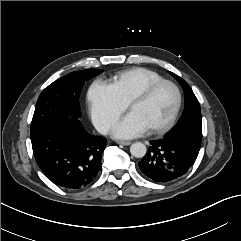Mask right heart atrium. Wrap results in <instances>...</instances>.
Here are the masks:
<instances>
[{
  "label": "right heart atrium",
  "mask_w": 241,
  "mask_h": 241,
  "mask_svg": "<svg viewBox=\"0 0 241 241\" xmlns=\"http://www.w3.org/2000/svg\"><path fill=\"white\" fill-rule=\"evenodd\" d=\"M87 98L91 118L101 133H107L128 106L113 85L103 80L90 85Z\"/></svg>",
  "instance_id": "1"
}]
</instances>
